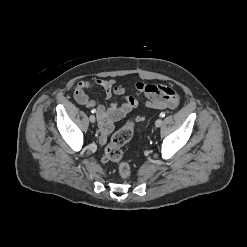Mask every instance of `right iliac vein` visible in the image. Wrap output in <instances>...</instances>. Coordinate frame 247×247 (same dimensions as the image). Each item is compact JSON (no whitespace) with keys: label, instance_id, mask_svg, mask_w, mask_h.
<instances>
[{"label":"right iliac vein","instance_id":"1","mask_svg":"<svg viewBox=\"0 0 247 247\" xmlns=\"http://www.w3.org/2000/svg\"><path fill=\"white\" fill-rule=\"evenodd\" d=\"M89 120H90V122L94 123L95 122V116L94 115H91L89 117Z\"/></svg>","mask_w":247,"mask_h":247}]
</instances>
